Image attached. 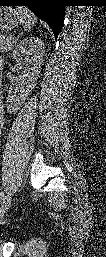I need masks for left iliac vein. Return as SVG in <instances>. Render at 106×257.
I'll return each mask as SVG.
<instances>
[{
	"instance_id": "4c4485c4",
	"label": "left iliac vein",
	"mask_w": 106,
	"mask_h": 257,
	"mask_svg": "<svg viewBox=\"0 0 106 257\" xmlns=\"http://www.w3.org/2000/svg\"><path fill=\"white\" fill-rule=\"evenodd\" d=\"M10 204H11V196L7 195L4 197L2 204H1L0 218H3L5 213L8 211Z\"/></svg>"
}]
</instances>
